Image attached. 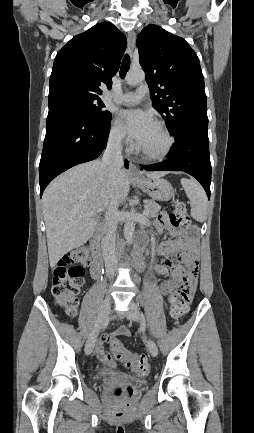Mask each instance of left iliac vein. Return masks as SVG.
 Here are the masks:
<instances>
[{
    "label": "left iliac vein",
    "instance_id": "1",
    "mask_svg": "<svg viewBox=\"0 0 254 433\" xmlns=\"http://www.w3.org/2000/svg\"><path fill=\"white\" fill-rule=\"evenodd\" d=\"M128 316H129L130 320H132L134 322L140 321L139 309H138V307L134 301L130 302ZM146 345H147V348H148V351L150 352V354L154 357L157 356L158 347H157L156 343L152 339H148Z\"/></svg>",
    "mask_w": 254,
    "mask_h": 433
}]
</instances>
